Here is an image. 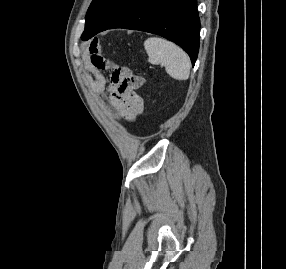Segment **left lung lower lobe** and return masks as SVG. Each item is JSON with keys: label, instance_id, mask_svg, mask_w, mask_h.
Segmentation results:
<instances>
[{"label": "left lung lower lobe", "instance_id": "left-lung-lower-lobe-1", "mask_svg": "<svg viewBox=\"0 0 286 269\" xmlns=\"http://www.w3.org/2000/svg\"><path fill=\"white\" fill-rule=\"evenodd\" d=\"M112 28L141 30L160 35L184 49L193 66L197 59L200 20L196 0H143L102 31Z\"/></svg>", "mask_w": 286, "mask_h": 269}]
</instances>
